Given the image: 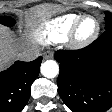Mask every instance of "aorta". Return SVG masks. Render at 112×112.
I'll return each mask as SVG.
<instances>
[{
	"instance_id": "aorta-1",
	"label": "aorta",
	"mask_w": 112,
	"mask_h": 112,
	"mask_svg": "<svg viewBox=\"0 0 112 112\" xmlns=\"http://www.w3.org/2000/svg\"><path fill=\"white\" fill-rule=\"evenodd\" d=\"M41 74L46 78H54L59 74V66L55 60H46L40 68Z\"/></svg>"
}]
</instances>
